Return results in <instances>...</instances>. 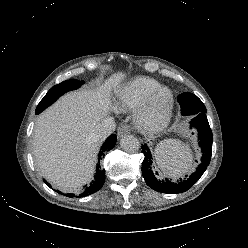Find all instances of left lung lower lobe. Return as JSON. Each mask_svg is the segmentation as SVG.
Masks as SVG:
<instances>
[{"label": "left lung lower lobe", "instance_id": "0a47b994", "mask_svg": "<svg viewBox=\"0 0 248 248\" xmlns=\"http://www.w3.org/2000/svg\"><path fill=\"white\" fill-rule=\"evenodd\" d=\"M190 123V128L195 127L198 131L199 146L202 150V162L196 169V172L187 180L180 179L179 183H174L168 179L161 180L157 178L158 173H153L151 170L153 162L150 149L146 144L142 146V153L144 154L142 174L147 185L155 191L173 194L185 192L190 189L197 180H199L209 165L212 154L213 136L205 112L196 113Z\"/></svg>", "mask_w": 248, "mask_h": 248}]
</instances>
